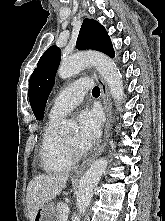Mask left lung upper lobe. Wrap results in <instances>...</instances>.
Instances as JSON below:
<instances>
[{"label": "left lung upper lobe", "instance_id": "5c2ea615", "mask_svg": "<svg viewBox=\"0 0 165 221\" xmlns=\"http://www.w3.org/2000/svg\"><path fill=\"white\" fill-rule=\"evenodd\" d=\"M77 49H93L114 57V49L105 28L93 19L86 18L81 26ZM61 51L57 46L49 47L41 56L37 68L30 77L29 101L37 120H42L48 96L54 84Z\"/></svg>", "mask_w": 165, "mask_h": 221}]
</instances>
